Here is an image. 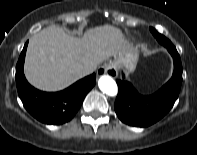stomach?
<instances>
[{"instance_id":"stomach-1","label":"stomach","mask_w":197,"mask_h":155,"mask_svg":"<svg viewBox=\"0 0 197 155\" xmlns=\"http://www.w3.org/2000/svg\"><path fill=\"white\" fill-rule=\"evenodd\" d=\"M138 52L137 50L129 49L123 55L115 58L117 68H124L127 72L132 73L137 65Z\"/></svg>"}]
</instances>
